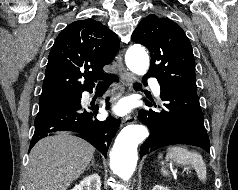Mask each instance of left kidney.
Returning <instances> with one entry per match:
<instances>
[{
	"mask_svg": "<svg viewBox=\"0 0 238 190\" xmlns=\"http://www.w3.org/2000/svg\"><path fill=\"white\" fill-rule=\"evenodd\" d=\"M153 190H170V189L164 187L163 185H155Z\"/></svg>",
	"mask_w": 238,
	"mask_h": 190,
	"instance_id": "1",
	"label": "left kidney"
}]
</instances>
